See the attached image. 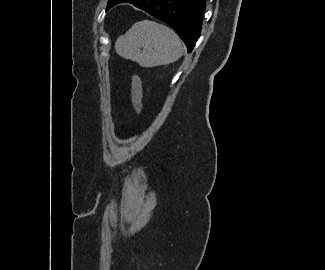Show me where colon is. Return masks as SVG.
<instances>
[{
	"mask_svg": "<svg viewBox=\"0 0 325 270\" xmlns=\"http://www.w3.org/2000/svg\"><path fill=\"white\" fill-rule=\"evenodd\" d=\"M131 100L136 113L142 111V83L138 75L133 74L131 79Z\"/></svg>",
	"mask_w": 325,
	"mask_h": 270,
	"instance_id": "1",
	"label": "colon"
}]
</instances>
